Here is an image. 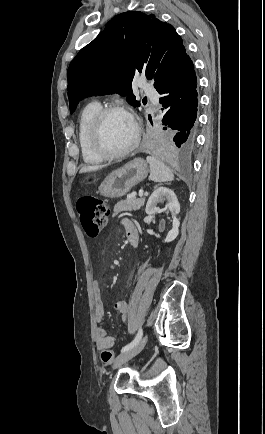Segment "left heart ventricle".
<instances>
[{
  "mask_svg": "<svg viewBox=\"0 0 265 434\" xmlns=\"http://www.w3.org/2000/svg\"><path fill=\"white\" fill-rule=\"evenodd\" d=\"M135 136V125L128 115L114 113L106 120L104 140L110 150H126L133 144Z\"/></svg>",
  "mask_w": 265,
  "mask_h": 434,
  "instance_id": "1",
  "label": "left heart ventricle"
}]
</instances>
